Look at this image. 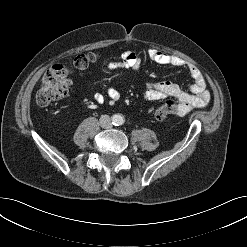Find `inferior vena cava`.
<instances>
[{
	"mask_svg": "<svg viewBox=\"0 0 247 247\" xmlns=\"http://www.w3.org/2000/svg\"><path fill=\"white\" fill-rule=\"evenodd\" d=\"M100 125L103 128H111L112 127L111 118L108 115H102L100 118Z\"/></svg>",
	"mask_w": 247,
	"mask_h": 247,
	"instance_id": "1",
	"label": "inferior vena cava"
}]
</instances>
